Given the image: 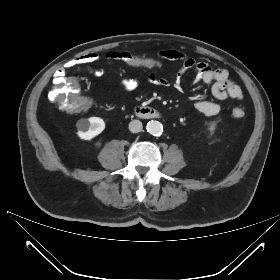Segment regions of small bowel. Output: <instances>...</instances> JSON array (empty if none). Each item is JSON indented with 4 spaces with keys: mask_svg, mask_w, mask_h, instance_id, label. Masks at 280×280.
I'll list each match as a JSON object with an SVG mask.
<instances>
[{
    "mask_svg": "<svg viewBox=\"0 0 280 280\" xmlns=\"http://www.w3.org/2000/svg\"><path fill=\"white\" fill-rule=\"evenodd\" d=\"M129 56H131L129 53L109 52L107 53L106 58L109 60L120 61L122 58H128ZM155 58L168 61H181L183 67L181 72L172 78L159 77L154 73H149L147 75V81L151 85L164 87L172 86L179 89L181 87L183 74L192 69H195L194 83L211 85V93L217 101L202 99L195 104L196 109L205 115H216L220 111L221 105L218 101H223L229 98L235 100L243 99L242 90L231 79L230 74L226 69L214 68L204 62H196L193 58L188 57L179 50H164L159 52ZM98 60L99 57L95 53L84 54L68 61L57 73H65L68 70L87 67L92 73L97 74L101 71L100 68L95 66ZM139 84L140 80L137 77L122 78L120 80V85L128 90L137 88Z\"/></svg>",
    "mask_w": 280,
    "mask_h": 280,
    "instance_id": "obj_1",
    "label": "small bowel"
}]
</instances>
